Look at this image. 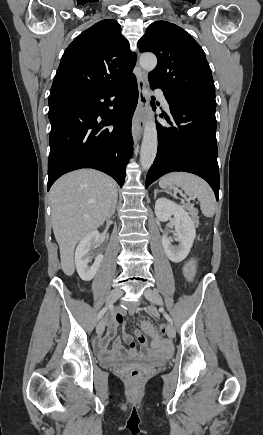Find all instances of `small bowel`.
Here are the masks:
<instances>
[{
    "instance_id": "1",
    "label": "small bowel",
    "mask_w": 263,
    "mask_h": 435,
    "mask_svg": "<svg viewBox=\"0 0 263 435\" xmlns=\"http://www.w3.org/2000/svg\"><path fill=\"white\" fill-rule=\"evenodd\" d=\"M124 318L125 313L118 311L106 319V333L95 342L96 350L102 358L110 360L121 357L136 358L146 353L151 356H162L164 354L163 336L162 334H156L152 325L148 322L143 323V330L150 335L151 348L148 346L145 336L139 330L135 332V335L142 346V352L137 351L136 344L130 334L124 333L122 339L120 337L115 338L117 327L124 323ZM122 340L128 345L127 348L121 345Z\"/></svg>"
}]
</instances>
